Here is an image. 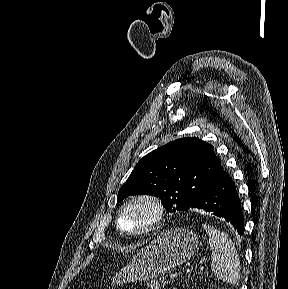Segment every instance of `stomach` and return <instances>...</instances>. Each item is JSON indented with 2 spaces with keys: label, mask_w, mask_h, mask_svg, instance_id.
<instances>
[{
  "label": "stomach",
  "mask_w": 288,
  "mask_h": 289,
  "mask_svg": "<svg viewBox=\"0 0 288 289\" xmlns=\"http://www.w3.org/2000/svg\"><path fill=\"white\" fill-rule=\"evenodd\" d=\"M198 236L187 228H170L142 248L132 261L116 272L112 283L146 281L183 264L195 253Z\"/></svg>",
  "instance_id": "1"
}]
</instances>
